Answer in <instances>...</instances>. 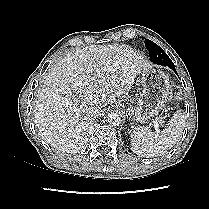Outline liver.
Segmentation results:
<instances>
[{
    "instance_id": "liver-1",
    "label": "liver",
    "mask_w": 209,
    "mask_h": 209,
    "mask_svg": "<svg viewBox=\"0 0 209 209\" xmlns=\"http://www.w3.org/2000/svg\"><path fill=\"white\" fill-rule=\"evenodd\" d=\"M149 68L134 50L91 45L57 63L36 99L35 123L43 140L66 153L80 152L105 106L125 98L136 75Z\"/></svg>"
}]
</instances>
